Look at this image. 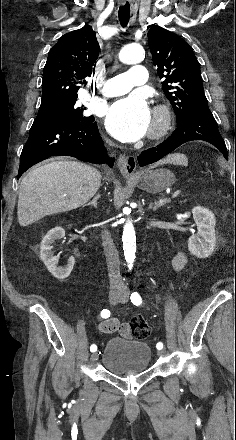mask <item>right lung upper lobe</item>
I'll use <instances>...</instances> for the list:
<instances>
[{
  "label": "right lung upper lobe",
  "mask_w": 236,
  "mask_h": 440,
  "mask_svg": "<svg viewBox=\"0 0 236 440\" xmlns=\"http://www.w3.org/2000/svg\"><path fill=\"white\" fill-rule=\"evenodd\" d=\"M98 55L99 43L90 25L64 34L48 54L41 106L77 99V92L86 84L85 78L91 76Z\"/></svg>",
  "instance_id": "right-lung-upper-lobe-1"
}]
</instances>
